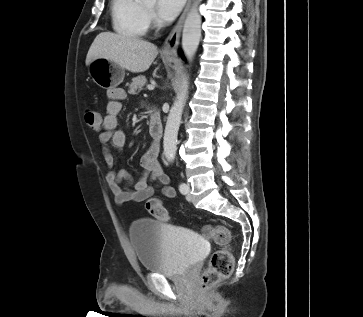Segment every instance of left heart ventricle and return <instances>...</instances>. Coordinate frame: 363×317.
I'll return each mask as SVG.
<instances>
[{"label": "left heart ventricle", "instance_id": "left-heart-ventricle-1", "mask_svg": "<svg viewBox=\"0 0 363 317\" xmlns=\"http://www.w3.org/2000/svg\"><path fill=\"white\" fill-rule=\"evenodd\" d=\"M145 6H146L147 8H149V9H153V8H154V6H155V3H154V2H148V3H146V4H145Z\"/></svg>", "mask_w": 363, "mask_h": 317}]
</instances>
